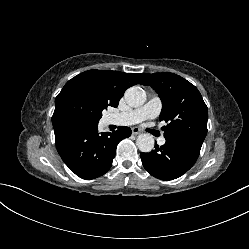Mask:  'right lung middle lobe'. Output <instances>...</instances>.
<instances>
[{
  "label": "right lung middle lobe",
  "instance_id": "1",
  "mask_svg": "<svg viewBox=\"0 0 249 249\" xmlns=\"http://www.w3.org/2000/svg\"><path fill=\"white\" fill-rule=\"evenodd\" d=\"M107 107L88 89L63 87L55 99L53 117L67 116L88 123L97 124L102 111Z\"/></svg>",
  "mask_w": 249,
  "mask_h": 249
}]
</instances>
